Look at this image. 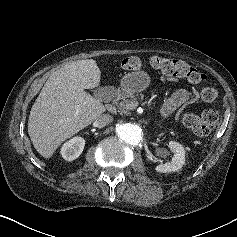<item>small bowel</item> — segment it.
I'll return each instance as SVG.
<instances>
[{
    "label": "small bowel",
    "instance_id": "c3829d8e",
    "mask_svg": "<svg viewBox=\"0 0 237 237\" xmlns=\"http://www.w3.org/2000/svg\"><path fill=\"white\" fill-rule=\"evenodd\" d=\"M196 96L190 90L181 88L176 90L164 103L161 110V117L166 118L170 116L176 109L193 103Z\"/></svg>",
    "mask_w": 237,
    "mask_h": 237
}]
</instances>
